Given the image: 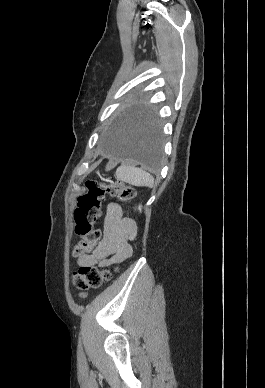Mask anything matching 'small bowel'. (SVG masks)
<instances>
[{
	"mask_svg": "<svg viewBox=\"0 0 265 388\" xmlns=\"http://www.w3.org/2000/svg\"><path fill=\"white\" fill-rule=\"evenodd\" d=\"M137 235V225L131 218L123 217L117 203H109L103 223V236L94 250L78 256L79 266L107 267L120 263L132 255V241Z\"/></svg>",
	"mask_w": 265,
	"mask_h": 388,
	"instance_id": "c3829d8e",
	"label": "small bowel"
}]
</instances>
